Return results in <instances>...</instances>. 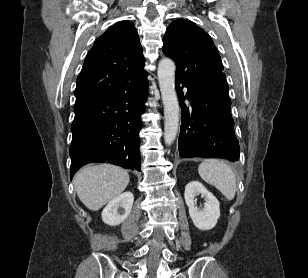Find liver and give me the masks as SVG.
<instances>
[{
    "mask_svg": "<svg viewBox=\"0 0 308 278\" xmlns=\"http://www.w3.org/2000/svg\"><path fill=\"white\" fill-rule=\"evenodd\" d=\"M130 177L127 171L111 164L88 165L74 177V186L81 202L97 211L118 197L127 187Z\"/></svg>",
    "mask_w": 308,
    "mask_h": 278,
    "instance_id": "obj_1",
    "label": "liver"
}]
</instances>
